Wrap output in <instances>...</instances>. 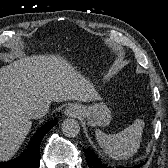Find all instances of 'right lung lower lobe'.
Segmentation results:
<instances>
[{"label": "right lung lower lobe", "mask_w": 168, "mask_h": 168, "mask_svg": "<svg viewBox=\"0 0 168 168\" xmlns=\"http://www.w3.org/2000/svg\"><path fill=\"white\" fill-rule=\"evenodd\" d=\"M56 120L47 122L39 131L33 136L27 150L17 160L11 162L0 163V168H38L40 161V144L44 135L55 125Z\"/></svg>", "instance_id": "obj_1"}]
</instances>
